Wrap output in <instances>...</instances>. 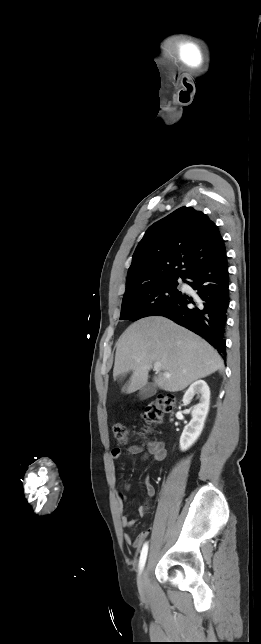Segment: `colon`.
Instances as JSON below:
<instances>
[{
	"label": "colon",
	"mask_w": 261,
	"mask_h": 644,
	"mask_svg": "<svg viewBox=\"0 0 261 644\" xmlns=\"http://www.w3.org/2000/svg\"><path fill=\"white\" fill-rule=\"evenodd\" d=\"M175 404L176 399L170 394L159 395L154 401L150 402L145 407L143 414L146 422L144 434L152 433L153 427L161 423L163 415L173 412ZM113 433L117 441L121 443H126L128 441L129 432L124 423H116L113 426Z\"/></svg>",
	"instance_id": "1"
}]
</instances>
